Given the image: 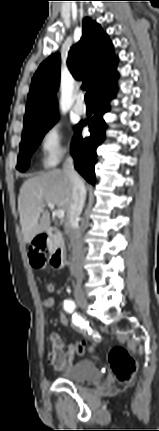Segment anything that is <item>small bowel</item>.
I'll use <instances>...</instances> for the list:
<instances>
[{
    "instance_id": "1",
    "label": "small bowel",
    "mask_w": 159,
    "mask_h": 431,
    "mask_svg": "<svg viewBox=\"0 0 159 431\" xmlns=\"http://www.w3.org/2000/svg\"><path fill=\"white\" fill-rule=\"evenodd\" d=\"M55 284L50 282L46 285V290L49 293H52L55 291ZM54 301L53 298L49 297L46 298L43 302L45 308H48L49 301ZM55 303V302H54ZM54 307V306H53ZM52 309V308H51ZM50 343H51V349L49 350L47 354L48 362L53 366L56 370H66L72 361L74 360L75 355L77 354L76 345L70 344L66 349L64 348V342L61 338V336L58 333H52L50 335ZM94 346V344H91V346ZM87 351V349H86ZM90 351V349L88 350Z\"/></svg>"
}]
</instances>
